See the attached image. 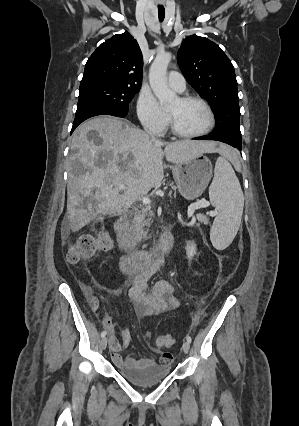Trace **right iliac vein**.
<instances>
[{
    "mask_svg": "<svg viewBox=\"0 0 299 426\" xmlns=\"http://www.w3.org/2000/svg\"><path fill=\"white\" fill-rule=\"evenodd\" d=\"M107 342H108V339L106 337H103L100 343L102 349L106 348Z\"/></svg>",
    "mask_w": 299,
    "mask_h": 426,
    "instance_id": "63e3f726",
    "label": "right iliac vein"
}]
</instances>
